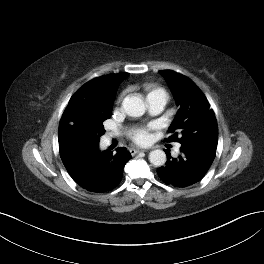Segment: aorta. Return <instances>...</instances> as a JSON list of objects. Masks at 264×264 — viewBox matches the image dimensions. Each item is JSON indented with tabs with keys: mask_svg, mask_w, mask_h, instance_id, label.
<instances>
[{
	"mask_svg": "<svg viewBox=\"0 0 264 264\" xmlns=\"http://www.w3.org/2000/svg\"><path fill=\"white\" fill-rule=\"evenodd\" d=\"M122 105L125 112L132 117H140L146 111L143 100L138 96H126L122 102ZM149 161L154 166H163L166 163V154L163 150H153L149 154Z\"/></svg>",
	"mask_w": 264,
	"mask_h": 264,
	"instance_id": "1",
	"label": "aorta"
}]
</instances>
